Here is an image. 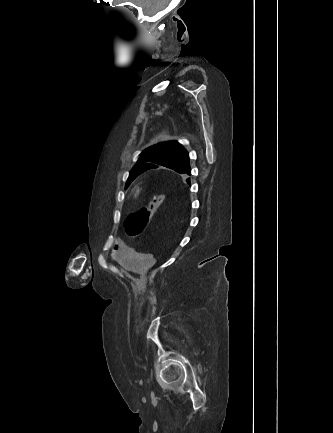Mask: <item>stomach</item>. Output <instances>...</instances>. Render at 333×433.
Here are the masks:
<instances>
[{
  "instance_id": "obj_1",
  "label": "stomach",
  "mask_w": 333,
  "mask_h": 433,
  "mask_svg": "<svg viewBox=\"0 0 333 433\" xmlns=\"http://www.w3.org/2000/svg\"><path fill=\"white\" fill-rule=\"evenodd\" d=\"M133 191H135V195L138 196L140 194L141 189H139V187H135Z\"/></svg>"
}]
</instances>
